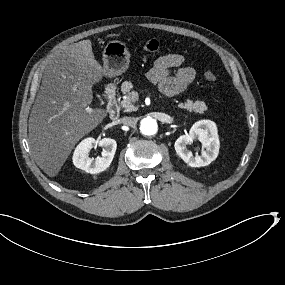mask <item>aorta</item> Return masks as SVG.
Masks as SVG:
<instances>
[{
  "label": "aorta",
  "mask_w": 285,
  "mask_h": 285,
  "mask_svg": "<svg viewBox=\"0 0 285 285\" xmlns=\"http://www.w3.org/2000/svg\"><path fill=\"white\" fill-rule=\"evenodd\" d=\"M140 131L143 135H154L158 131V125L155 119L144 118L140 122Z\"/></svg>",
  "instance_id": "1"
}]
</instances>
